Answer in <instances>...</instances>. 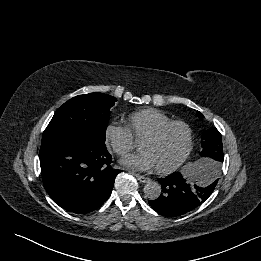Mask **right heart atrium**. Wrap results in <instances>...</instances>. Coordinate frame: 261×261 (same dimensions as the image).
<instances>
[{
	"mask_svg": "<svg viewBox=\"0 0 261 261\" xmlns=\"http://www.w3.org/2000/svg\"><path fill=\"white\" fill-rule=\"evenodd\" d=\"M106 144L119 156H123L135 147L131 131L122 125L109 123L104 131Z\"/></svg>",
	"mask_w": 261,
	"mask_h": 261,
	"instance_id": "1",
	"label": "right heart atrium"
}]
</instances>
